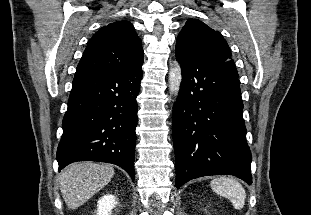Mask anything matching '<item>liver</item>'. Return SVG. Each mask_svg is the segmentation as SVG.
Segmentation results:
<instances>
[{"instance_id":"6515ba94","label":"liver","mask_w":311,"mask_h":215,"mask_svg":"<svg viewBox=\"0 0 311 215\" xmlns=\"http://www.w3.org/2000/svg\"><path fill=\"white\" fill-rule=\"evenodd\" d=\"M114 176L110 165L76 162L60 175V190L69 209H77L106 186Z\"/></svg>"}]
</instances>
